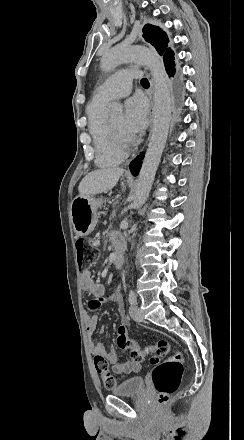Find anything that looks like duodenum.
<instances>
[{
	"label": "duodenum",
	"instance_id": "obj_1",
	"mask_svg": "<svg viewBox=\"0 0 244 440\" xmlns=\"http://www.w3.org/2000/svg\"><path fill=\"white\" fill-rule=\"evenodd\" d=\"M123 261H124V250L121 245V241H119L114 250V260H113L114 267L118 270L121 269L123 265Z\"/></svg>",
	"mask_w": 244,
	"mask_h": 440
}]
</instances>
